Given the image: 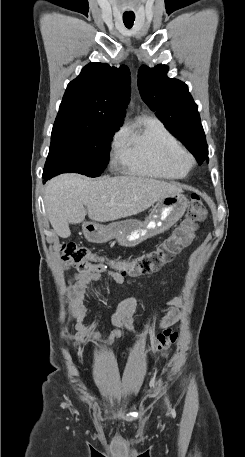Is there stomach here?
<instances>
[{
    "instance_id": "stomach-1",
    "label": "stomach",
    "mask_w": 245,
    "mask_h": 457,
    "mask_svg": "<svg viewBox=\"0 0 245 457\" xmlns=\"http://www.w3.org/2000/svg\"><path fill=\"white\" fill-rule=\"evenodd\" d=\"M188 204V198L180 192L166 194L157 200L149 216L141 222L137 218L119 220L110 224L99 222H84L83 233L90 243H107L117 239L121 247H136L150 237L168 231L183 216Z\"/></svg>"
}]
</instances>
